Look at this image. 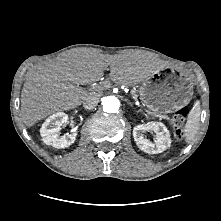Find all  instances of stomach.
I'll return each instance as SVG.
<instances>
[{
  "instance_id": "obj_1",
  "label": "stomach",
  "mask_w": 221,
  "mask_h": 221,
  "mask_svg": "<svg viewBox=\"0 0 221 221\" xmlns=\"http://www.w3.org/2000/svg\"><path fill=\"white\" fill-rule=\"evenodd\" d=\"M139 96L153 112L173 113L189 103L193 96V83L185 73L158 71L143 80Z\"/></svg>"
}]
</instances>
